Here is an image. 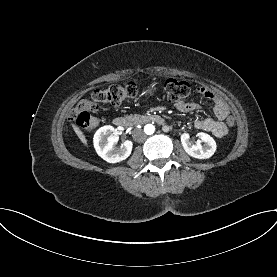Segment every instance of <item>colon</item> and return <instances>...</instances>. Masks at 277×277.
I'll return each instance as SVG.
<instances>
[{
  "instance_id": "1",
  "label": "colon",
  "mask_w": 277,
  "mask_h": 277,
  "mask_svg": "<svg viewBox=\"0 0 277 277\" xmlns=\"http://www.w3.org/2000/svg\"><path fill=\"white\" fill-rule=\"evenodd\" d=\"M165 89L168 97L175 103L184 101L190 94L189 83L178 79H168L165 83ZM136 94L137 87L132 82L111 84L106 88L94 89L87 98L82 99L77 104L70 118L83 129H93L100 122L99 117L96 115L99 104L118 105L125 100L135 97ZM223 124L227 128H232L236 124V119L232 115H227L223 119Z\"/></svg>"
}]
</instances>
